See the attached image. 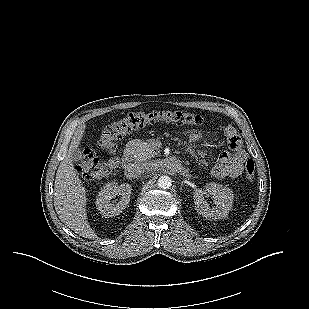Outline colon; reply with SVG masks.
Masks as SVG:
<instances>
[{
	"mask_svg": "<svg viewBox=\"0 0 309 309\" xmlns=\"http://www.w3.org/2000/svg\"><path fill=\"white\" fill-rule=\"evenodd\" d=\"M157 121L173 122L181 125L196 126L201 124V117L192 112L161 111L152 113H129L108 125L101 133L99 147L110 155L106 161L100 160L95 152L89 148L80 150L78 171L87 178L102 179L108 177L118 165L117 142L129 132ZM239 138H233L231 145L240 143ZM255 176V164L248 159L245 164V178L252 181Z\"/></svg>",
	"mask_w": 309,
	"mask_h": 309,
	"instance_id": "obj_1",
	"label": "colon"
}]
</instances>
